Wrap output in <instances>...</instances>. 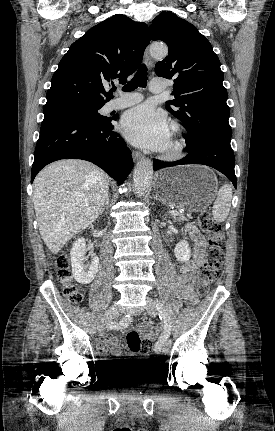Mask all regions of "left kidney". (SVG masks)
Returning a JSON list of instances; mask_svg holds the SVG:
<instances>
[{
  "instance_id": "obj_1",
  "label": "left kidney",
  "mask_w": 275,
  "mask_h": 431,
  "mask_svg": "<svg viewBox=\"0 0 275 431\" xmlns=\"http://www.w3.org/2000/svg\"><path fill=\"white\" fill-rule=\"evenodd\" d=\"M175 257L181 262H187L190 259L191 249L186 240L178 242L174 249Z\"/></svg>"
}]
</instances>
